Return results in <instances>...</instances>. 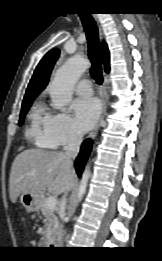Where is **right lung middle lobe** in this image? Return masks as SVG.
Instances as JSON below:
<instances>
[{
	"label": "right lung middle lobe",
	"mask_w": 162,
	"mask_h": 261,
	"mask_svg": "<svg viewBox=\"0 0 162 261\" xmlns=\"http://www.w3.org/2000/svg\"><path fill=\"white\" fill-rule=\"evenodd\" d=\"M33 100L24 101L22 103L21 113H20V120L19 125L21 126L23 124L24 117L26 113L28 112Z\"/></svg>",
	"instance_id": "1"
}]
</instances>
